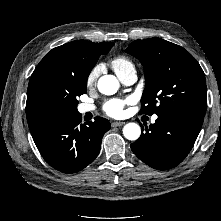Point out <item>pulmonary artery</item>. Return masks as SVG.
Listing matches in <instances>:
<instances>
[{"mask_svg": "<svg viewBox=\"0 0 221 221\" xmlns=\"http://www.w3.org/2000/svg\"><path fill=\"white\" fill-rule=\"evenodd\" d=\"M119 79L121 80L122 83L125 85H132L136 82L137 80V74H136V69L134 67L129 68L126 72L118 76ZM95 107L90 104H81L78 107V111L82 114L86 112L93 111ZM157 119V116H153L152 122H155Z\"/></svg>", "mask_w": 221, "mask_h": 221, "instance_id": "e3ab8cb5", "label": "pulmonary artery"}]
</instances>
